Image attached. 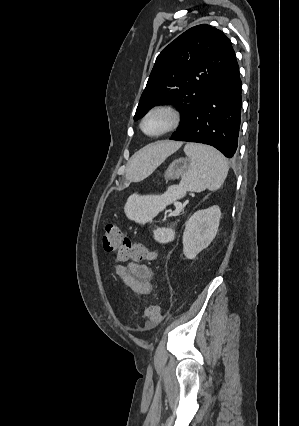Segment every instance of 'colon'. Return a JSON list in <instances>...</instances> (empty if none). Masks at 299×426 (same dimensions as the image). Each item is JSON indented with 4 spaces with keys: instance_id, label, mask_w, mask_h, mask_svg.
<instances>
[{
    "instance_id": "obj_1",
    "label": "colon",
    "mask_w": 299,
    "mask_h": 426,
    "mask_svg": "<svg viewBox=\"0 0 299 426\" xmlns=\"http://www.w3.org/2000/svg\"><path fill=\"white\" fill-rule=\"evenodd\" d=\"M101 243L106 252L116 253L120 261L153 260L156 256L142 243L132 242L117 225L113 224L104 227ZM144 316L143 328L147 330L156 327L161 319L160 311L154 305L146 307Z\"/></svg>"
}]
</instances>
